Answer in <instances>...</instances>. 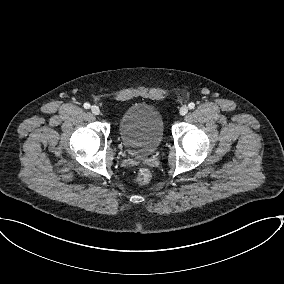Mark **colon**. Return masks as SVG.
Listing matches in <instances>:
<instances>
[{
	"mask_svg": "<svg viewBox=\"0 0 284 284\" xmlns=\"http://www.w3.org/2000/svg\"><path fill=\"white\" fill-rule=\"evenodd\" d=\"M151 178V173L147 168H140L135 176V181L139 184H146Z\"/></svg>",
	"mask_w": 284,
	"mask_h": 284,
	"instance_id": "colon-1",
	"label": "colon"
}]
</instances>
